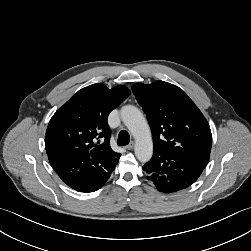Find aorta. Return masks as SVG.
I'll use <instances>...</instances> for the list:
<instances>
[{"label":"aorta","mask_w":251,"mask_h":251,"mask_svg":"<svg viewBox=\"0 0 251 251\" xmlns=\"http://www.w3.org/2000/svg\"><path fill=\"white\" fill-rule=\"evenodd\" d=\"M121 119L135 139V156L142 162H148L153 154L151 133L141 111L133 105H125L121 109Z\"/></svg>","instance_id":"762f6f07"}]
</instances>
